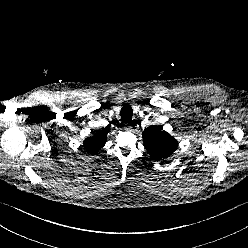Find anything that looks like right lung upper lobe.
<instances>
[{
    "instance_id": "1",
    "label": "right lung upper lobe",
    "mask_w": 248,
    "mask_h": 248,
    "mask_svg": "<svg viewBox=\"0 0 248 248\" xmlns=\"http://www.w3.org/2000/svg\"><path fill=\"white\" fill-rule=\"evenodd\" d=\"M108 132V128L97 131L92 137L85 139L83 146L91 153L96 154L105 145Z\"/></svg>"
}]
</instances>
